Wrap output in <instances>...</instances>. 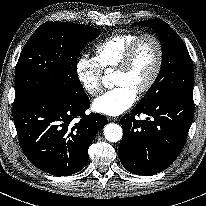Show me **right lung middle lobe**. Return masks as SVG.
<instances>
[{
	"instance_id": "right-lung-middle-lobe-1",
	"label": "right lung middle lobe",
	"mask_w": 206,
	"mask_h": 206,
	"mask_svg": "<svg viewBox=\"0 0 206 206\" xmlns=\"http://www.w3.org/2000/svg\"><path fill=\"white\" fill-rule=\"evenodd\" d=\"M99 29L71 22H47L25 44L15 73L14 108L45 94L85 95L77 75V57Z\"/></svg>"
}]
</instances>
